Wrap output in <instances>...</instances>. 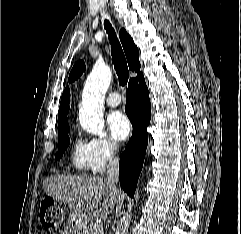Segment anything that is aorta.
<instances>
[{"label": "aorta", "mask_w": 241, "mask_h": 234, "mask_svg": "<svg viewBox=\"0 0 241 234\" xmlns=\"http://www.w3.org/2000/svg\"><path fill=\"white\" fill-rule=\"evenodd\" d=\"M112 77L111 69L97 64L89 74L83 88L79 121L87 132L104 137L103 103ZM138 194L135 200L138 199Z\"/></svg>", "instance_id": "762f6f07"}]
</instances>
